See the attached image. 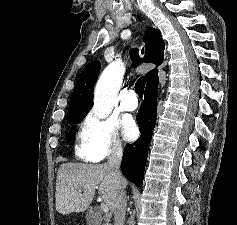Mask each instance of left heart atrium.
Wrapping results in <instances>:
<instances>
[{"mask_svg":"<svg viewBox=\"0 0 237 225\" xmlns=\"http://www.w3.org/2000/svg\"><path fill=\"white\" fill-rule=\"evenodd\" d=\"M122 132L126 140L132 141L138 135V127L131 118H125L122 121Z\"/></svg>","mask_w":237,"mask_h":225,"instance_id":"39dd6f15","label":"left heart atrium"}]
</instances>
